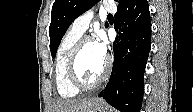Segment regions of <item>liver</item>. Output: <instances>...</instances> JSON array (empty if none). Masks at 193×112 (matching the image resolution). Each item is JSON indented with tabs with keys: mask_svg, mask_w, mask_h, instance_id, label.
I'll list each match as a JSON object with an SVG mask.
<instances>
[{
	"mask_svg": "<svg viewBox=\"0 0 193 112\" xmlns=\"http://www.w3.org/2000/svg\"><path fill=\"white\" fill-rule=\"evenodd\" d=\"M95 100L71 99L60 100L54 105L55 112H90Z\"/></svg>",
	"mask_w": 193,
	"mask_h": 112,
	"instance_id": "6515ba94",
	"label": "liver"
}]
</instances>
